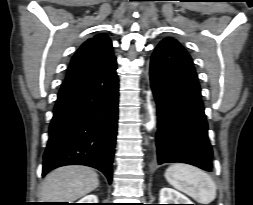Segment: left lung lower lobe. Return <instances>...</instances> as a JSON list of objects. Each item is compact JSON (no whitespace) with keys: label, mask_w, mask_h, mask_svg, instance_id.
I'll list each match as a JSON object with an SVG mask.
<instances>
[{"label":"left lung lower lobe","mask_w":253,"mask_h":205,"mask_svg":"<svg viewBox=\"0 0 253 205\" xmlns=\"http://www.w3.org/2000/svg\"><path fill=\"white\" fill-rule=\"evenodd\" d=\"M157 104V163L181 162L212 170V148L193 61L173 38L156 47L150 63Z\"/></svg>","instance_id":"1"}]
</instances>
